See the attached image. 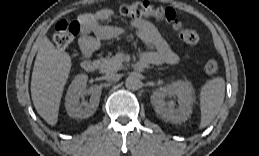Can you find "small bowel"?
Masks as SVG:
<instances>
[{
    "label": "small bowel",
    "mask_w": 259,
    "mask_h": 156,
    "mask_svg": "<svg viewBox=\"0 0 259 156\" xmlns=\"http://www.w3.org/2000/svg\"><path fill=\"white\" fill-rule=\"evenodd\" d=\"M112 15L113 11L111 9L103 8L79 16L82 30L79 44L83 52H91L98 46L101 40L122 33L121 28L110 27L104 24ZM131 26L148 48V51L142 55L139 63L140 67H145L148 64H174L178 61V54L170 48L158 29L151 22L144 19H135L131 22Z\"/></svg>",
    "instance_id": "c3829d8e"
}]
</instances>
